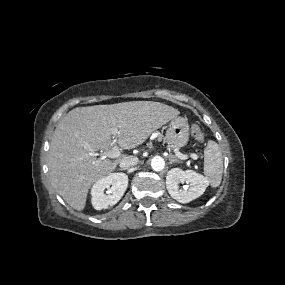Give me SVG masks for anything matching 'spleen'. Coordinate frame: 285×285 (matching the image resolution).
<instances>
[{
    "label": "spleen",
    "mask_w": 285,
    "mask_h": 285,
    "mask_svg": "<svg viewBox=\"0 0 285 285\" xmlns=\"http://www.w3.org/2000/svg\"><path fill=\"white\" fill-rule=\"evenodd\" d=\"M223 173V156L219 145L209 140L204 150V175L208 183L216 188L220 185Z\"/></svg>",
    "instance_id": "obj_1"
}]
</instances>
